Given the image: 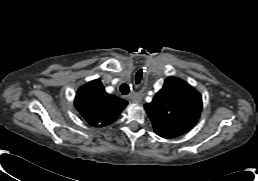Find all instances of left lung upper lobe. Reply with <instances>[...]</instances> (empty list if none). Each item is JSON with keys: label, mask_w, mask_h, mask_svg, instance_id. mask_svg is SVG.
<instances>
[{"label": "left lung upper lobe", "mask_w": 258, "mask_h": 181, "mask_svg": "<svg viewBox=\"0 0 258 181\" xmlns=\"http://www.w3.org/2000/svg\"><path fill=\"white\" fill-rule=\"evenodd\" d=\"M144 107L155 133L163 138H174L196 124L202 108V98L185 81L168 77L152 102Z\"/></svg>", "instance_id": "1"}]
</instances>
